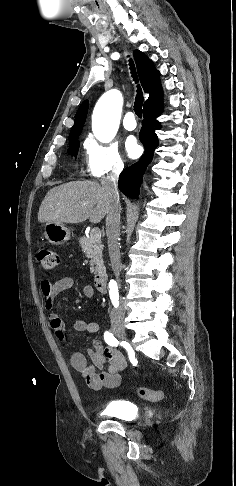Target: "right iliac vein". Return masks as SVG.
<instances>
[{"label":"right iliac vein","mask_w":236,"mask_h":486,"mask_svg":"<svg viewBox=\"0 0 236 486\" xmlns=\"http://www.w3.org/2000/svg\"><path fill=\"white\" fill-rule=\"evenodd\" d=\"M111 326H112L113 332L119 338L126 339L125 327H124V323L121 319H119V318L112 319Z\"/></svg>","instance_id":"right-iliac-vein-1"}]
</instances>
